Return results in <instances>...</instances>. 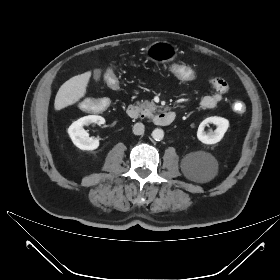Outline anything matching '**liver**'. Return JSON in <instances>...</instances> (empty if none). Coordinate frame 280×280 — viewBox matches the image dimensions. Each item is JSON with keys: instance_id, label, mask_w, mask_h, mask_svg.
<instances>
[{"instance_id": "1", "label": "liver", "mask_w": 280, "mask_h": 280, "mask_svg": "<svg viewBox=\"0 0 280 280\" xmlns=\"http://www.w3.org/2000/svg\"><path fill=\"white\" fill-rule=\"evenodd\" d=\"M90 77L91 72L88 71L66 81L56 94L54 102L55 110H61L73 105L83 98L86 94Z\"/></svg>"}]
</instances>
